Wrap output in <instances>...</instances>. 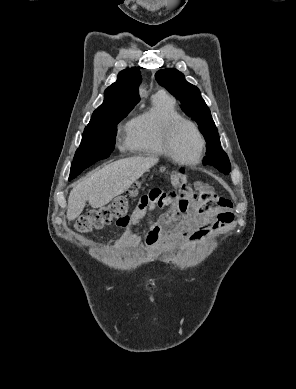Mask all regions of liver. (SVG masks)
Instances as JSON below:
<instances>
[{
    "mask_svg": "<svg viewBox=\"0 0 296 389\" xmlns=\"http://www.w3.org/2000/svg\"><path fill=\"white\" fill-rule=\"evenodd\" d=\"M157 157H130L110 163L95 171L70 192L67 219H76L88 201L93 208H102L124 193L146 171L157 164Z\"/></svg>",
    "mask_w": 296,
    "mask_h": 389,
    "instance_id": "obj_1",
    "label": "liver"
}]
</instances>
